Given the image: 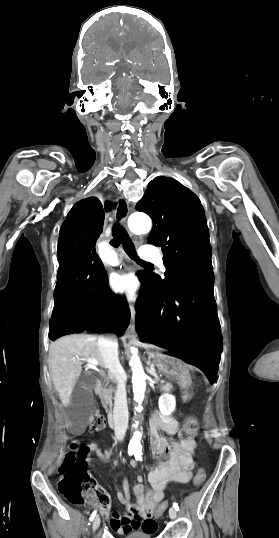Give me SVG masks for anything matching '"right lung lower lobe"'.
I'll list each match as a JSON object with an SVG mask.
<instances>
[{
	"label": "right lung lower lobe",
	"mask_w": 279,
	"mask_h": 538,
	"mask_svg": "<svg viewBox=\"0 0 279 538\" xmlns=\"http://www.w3.org/2000/svg\"><path fill=\"white\" fill-rule=\"evenodd\" d=\"M104 217L101 202L90 197L76 203L61 226L51 339L85 330L123 334L129 324L128 304L111 292L102 262L95 254Z\"/></svg>",
	"instance_id": "obj_1"
}]
</instances>
